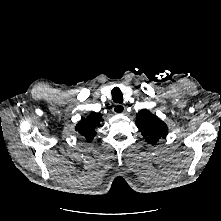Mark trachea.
Here are the masks:
<instances>
[{"label":"trachea","instance_id":"1","mask_svg":"<svg viewBox=\"0 0 221 221\" xmlns=\"http://www.w3.org/2000/svg\"><path fill=\"white\" fill-rule=\"evenodd\" d=\"M111 94H112V100L115 103L121 104L123 102V95L119 87H114L112 89Z\"/></svg>","mask_w":221,"mask_h":221}]
</instances>
